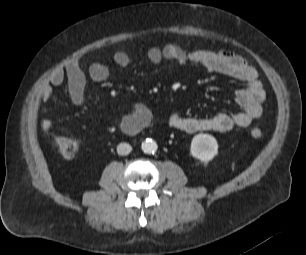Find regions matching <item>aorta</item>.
Listing matches in <instances>:
<instances>
[{
    "mask_svg": "<svg viewBox=\"0 0 306 255\" xmlns=\"http://www.w3.org/2000/svg\"><path fill=\"white\" fill-rule=\"evenodd\" d=\"M157 143L152 139H146L142 142L141 149L146 154H152L157 150Z\"/></svg>",
    "mask_w": 306,
    "mask_h": 255,
    "instance_id": "aorta-1",
    "label": "aorta"
}]
</instances>
